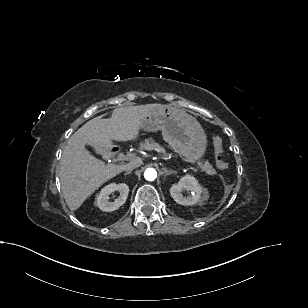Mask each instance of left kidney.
<instances>
[{
	"mask_svg": "<svg viewBox=\"0 0 308 308\" xmlns=\"http://www.w3.org/2000/svg\"><path fill=\"white\" fill-rule=\"evenodd\" d=\"M191 192L190 196L185 197L182 192ZM170 194L174 201L181 205H195L206 197L204 189L197 180L190 175H186L180 179L177 184L170 188Z\"/></svg>",
	"mask_w": 308,
	"mask_h": 308,
	"instance_id": "left-kidney-1",
	"label": "left kidney"
}]
</instances>
